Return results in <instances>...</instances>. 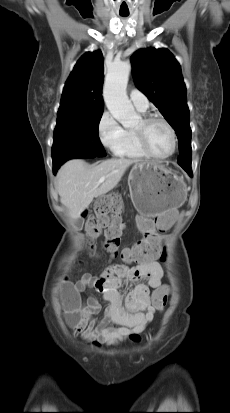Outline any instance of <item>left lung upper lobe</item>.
Segmentation results:
<instances>
[{"label":"left lung upper lobe","instance_id":"obj_1","mask_svg":"<svg viewBox=\"0 0 230 413\" xmlns=\"http://www.w3.org/2000/svg\"><path fill=\"white\" fill-rule=\"evenodd\" d=\"M136 86L159 109L178 137V164L191 167V128L181 68L166 48H148L131 56Z\"/></svg>","mask_w":230,"mask_h":413}]
</instances>
